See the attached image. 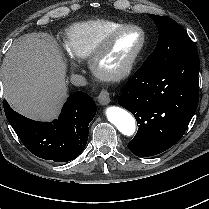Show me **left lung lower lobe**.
<instances>
[{"label": "left lung lower lobe", "instance_id": "obj_1", "mask_svg": "<svg viewBox=\"0 0 209 209\" xmlns=\"http://www.w3.org/2000/svg\"><path fill=\"white\" fill-rule=\"evenodd\" d=\"M198 74V55L163 69L141 66L135 72L118 98L139 124L128 144L134 155H157L183 136L198 105Z\"/></svg>", "mask_w": 209, "mask_h": 209}]
</instances>
